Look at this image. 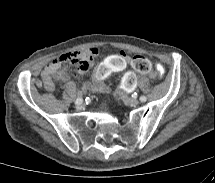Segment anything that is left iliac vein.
<instances>
[{
  "mask_svg": "<svg viewBox=\"0 0 215 183\" xmlns=\"http://www.w3.org/2000/svg\"><path fill=\"white\" fill-rule=\"evenodd\" d=\"M119 94L123 97L124 102L126 104H130V105H137L139 103V100L136 98H130L127 97L122 91L119 90Z\"/></svg>",
  "mask_w": 215,
  "mask_h": 183,
  "instance_id": "4c4485c4",
  "label": "left iliac vein"
}]
</instances>
